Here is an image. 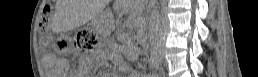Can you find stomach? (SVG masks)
<instances>
[{"label":"stomach","mask_w":258,"mask_h":77,"mask_svg":"<svg viewBox=\"0 0 258 77\" xmlns=\"http://www.w3.org/2000/svg\"><path fill=\"white\" fill-rule=\"evenodd\" d=\"M94 23H95L96 26H99V25L101 24V20L96 19V20L94 21Z\"/></svg>","instance_id":"0dacf381"}]
</instances>
